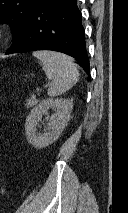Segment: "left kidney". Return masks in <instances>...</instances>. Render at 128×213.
Wrapping results in <instances>:
<instances>
[{
  "label": "left kidney",
  "mask_w": 128,
  "mask_h": 213,
  "mask_svg": "<svg viewBox=\"0 0 128 213\" xmlns=\"http://www.w3.org/2000/svg\"><path fill=\"white\" fill-rule=\"evenodd\" d=\"M50 108L55 110L47 125V131L42 134L36 133V128L45 114ZM73 108V101L70 99H43L36 107H34L25 123V134L28 142L37 149H42L55 142L70 119V113Z\"/></svg>",
  "instance_id": "5707ae66"
}]
</instances>
